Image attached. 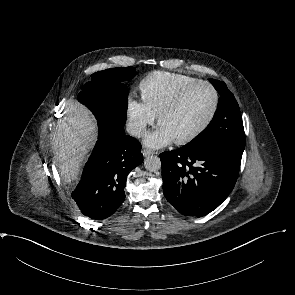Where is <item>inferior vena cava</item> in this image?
I'll use <instances>...</instances> for the list:
<instances>
[{
  "label": "inferior vena cava",
  "mask_w": 295,
  "mask_h": 295,
  "mask_svg": "<svg viewBox=\"0 0 295 295\" xmlns=\"http://www.w3.org/2000/svg\"><path fill=\"white\" fill-rule=\"evenodd\" d=\"M126 130L129 134L140 137L145 131V125L137 121H129L126 126Z\"/></svg>",
  "instance_id": "1"
}]
</instances>
